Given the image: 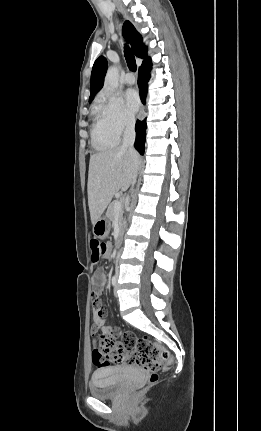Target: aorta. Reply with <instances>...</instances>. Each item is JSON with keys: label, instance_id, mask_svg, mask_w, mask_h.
I'll use <instances>...</instances> for the list:
<instances>
[{"label": "aorta", "instance_id": "1", "mask_svg": "<svg viewBox=\"0 0 261 431\" xmlns=\"http://www.w3.org/2000/svg\"><path fill=\"white\" fill-rule=\"evenodd\" d=\"M104 82L111 91H115L117 89L119 82V71L117 67L112 66L108 69Z\"/></svg>", "mask_w": 261, "mask_h": 431}]
</instances>
